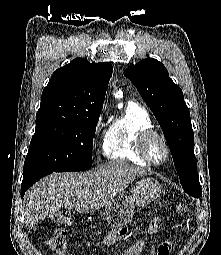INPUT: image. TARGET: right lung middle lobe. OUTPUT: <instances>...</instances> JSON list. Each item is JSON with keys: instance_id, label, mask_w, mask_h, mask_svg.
<instances>
[{"instance_id": "1", "label": "right lung middle lobe", "mask_w": 221, "mask_h": 255, "mask_svg": "<svg viewBox=\"0 0 221 255\" xmlns=\"http://www.w3.org/2000/svg\"><path fill=\"white\" fill-rule=\"evenodd\" d=\"M101 111L88 116L41 115L24 163V173L82 171L92 166L93 137Z\"/></svg>"}]
</instances>
